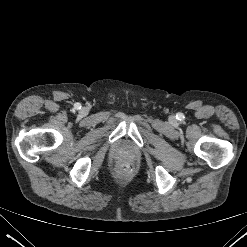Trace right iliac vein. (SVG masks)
Returning a JSON list of instances; mask_svg holds the SVG:
<instances>
[{
  "instance_id": "63e3f726",
  "label": "right iliac vein",
  "mask_w": 247,
  "mask_h": 247,
  "mask_svg": "<svg viewBox=\"0 0 247 247\" xmlns=\"http://www.w3.org/2000/svg\"><path fill=\"white\" fill-rule=\"evenodd\" d=\"M81 114H86V110L85 109H82L81 110Z\"/></svg>"
}]
</instances>
